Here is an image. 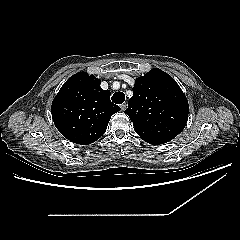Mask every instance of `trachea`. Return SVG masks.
Returning a JSON list of instances; mask_svg holds the SVG:
<instances>
[{
  "mask_svg": "<svg viewBox=\"0 0 240 240\" xmlns=\"http://www.w3.org/2000/svg\"><path fill=\"white\" fill-rule=\"evenodd\" d=\"M112 101L115 104H122L125 101V94L123 92H116L112 96Z\"/></svg>",
  "mask_w": 240,
  "mask_h": 240,
  "instance_id": "3493384b",
  "label": "trachea"
}]
</instances>
